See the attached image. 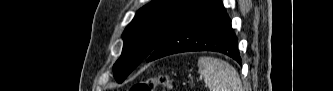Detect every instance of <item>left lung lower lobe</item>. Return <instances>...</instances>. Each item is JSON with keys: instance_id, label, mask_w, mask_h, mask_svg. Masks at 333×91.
Returning a JSON list of instances; mask_svg holds the SVG:
<instances>
[{"instance_id": "left-lung-lower-lobe-1", "label": "left lung lower lobe", "mask_w": 333, "mask_h": 91, "mask_svg": "<svg viewBox=\"0 0 333 91\" xmlns=\"http://www.w3.org/2000/svg\"><path fill=\"white\" fill-rule=\"evenodd\" d=\"M189 51L221 52L241 62L231 20L220 0H197L158 43L147 61Z\"/></svg>"}]
</instances>
